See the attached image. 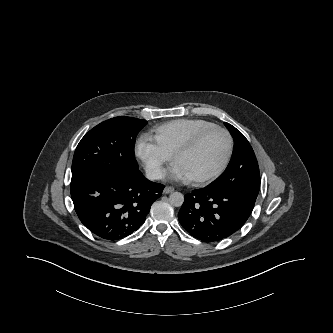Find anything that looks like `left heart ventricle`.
<instances>
[{"instance_id":"1","label":"left heart ventricle","mask_w":333,"mask_h":333,"mask_svg":"<svg viewBox=\"0 0 333 333\" xmlns=\"http://www.w3.org/2000/svg\"><path fill=\"white\" fill-rule=\"evenodd\" d=\"M227 152L226 137L219 131L207 135L192 151L176 161L189 178L213 173L222 164Z\"/></svg>"}]
</instances>
